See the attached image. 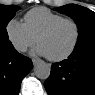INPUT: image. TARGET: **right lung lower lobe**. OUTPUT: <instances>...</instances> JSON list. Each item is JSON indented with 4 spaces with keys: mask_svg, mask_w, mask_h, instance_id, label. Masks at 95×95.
<instances>
[{
    "mask_svg": "<svg viewBox=\"0 0 95 95\" xmlns=\"http://www.w3.org/2000/svg\"><path fill=\"white\" fill-rule=\"evenodd\" d=\"M32 67V61L11 43L0 45V95H18L21 81Z\"/></svg>",
    "mask_w": 95,
    "mask_h": 95,
    "instance_id": "98d812e1",
    "label": "right lung lower lobe"
}]
</instances>
